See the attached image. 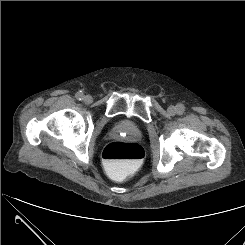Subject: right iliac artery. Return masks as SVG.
I'll return each mask as SVG.
<instances>
[{
    "label": "right iliac artery",
    "mask_w": 245,
    "mask_h": 245,
    "mask_svg": "<svg viewBox=\"0 0 245 245\" xmlns=\"http://www.w3.org/2000/svg\"><path fill=\"white\" fill-rule=\"evenodd\" d=\"M76 99L79 100V101L82 100L83 99V93H80V92L77 93L76 94Z\"/></svg>",
    "instance_id": "82829eb1"
}]
</instances>
